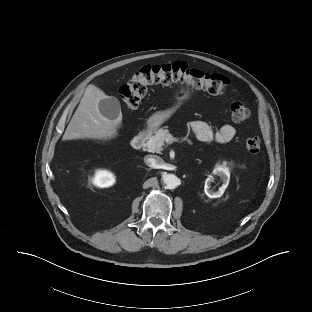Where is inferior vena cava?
Returning <instances> with one entry per match:
<instances>
[{
	"instance_id": "602c4592",
	"label": "inferior vena cava",
	"mask_w": 312,
	"mask_h": 312,
	"mask_svg": "<svg viewBox=\"0 0 312 312\" xmlns=\"http://www.w3.org/2000/svg\"><path fill=\"white\" fill-rule=\"evenodd\" d=\"M144 162L147 166L151 168H160L161 165L164 163L163 159L156 155H147L144 157Z\"/></svg>"
}]
</instances>
